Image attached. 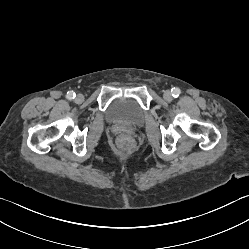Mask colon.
<instances>
[{"mask_svg":"<svg viewBox=\"0 0 249 249\" xmlns=\"http://www.w3.org/2000/svg\"><path fill=\"white\" fill-rule=\"evenodd\" d=\"M132 139L129 136H121L119 139V146L124 151H130L132 148Z\"/></svg>","mask_w":249,"mask_h":249,"instance_id":"colon-1","label":"colon"}]
</instances>
